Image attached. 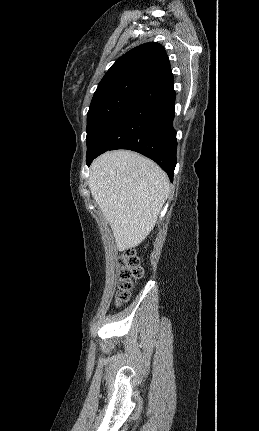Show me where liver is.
Here are the masks:
<instances>
[{
	"label": "liver",
	"mask_w": 259,
	"mask_h": 431,
	"mask_svg": "<svg viewBox=\"0 0 259 431\" xmlns=\"http://www.w3.org/2000/svg\"><path fill=\"white\" fill-rule=\"evenodd\" d=\"M88 183L119 251L139 245L148 236L169 195L166 173L150 159L127 150L96 158Z\"/></svg>",
	"instance_id": "obj_1"
}]
</instances>
